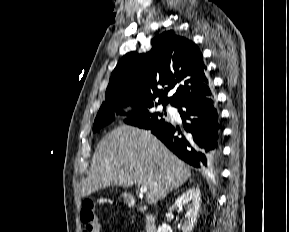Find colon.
I'll list each match as a JSON object with an SVG mask.
<instances>
[{
	"instance_id": "5ec220e1",
	"label": "colon",
	"mask_w": 289,
	"mask_h": 232,
	"mask_svg": "<svg viewBox=\"0 0 289 232\" xmlns=\"http://www.w3.org/2000/svg\"><path fill=\"white\" fill-rule=\"evenodd\" d=\"M80 219L84 226L82 232H100L94 211V204L91 200L84 202Z\"/></svg>"
}]
</instances>
